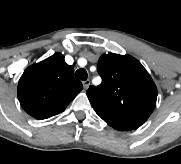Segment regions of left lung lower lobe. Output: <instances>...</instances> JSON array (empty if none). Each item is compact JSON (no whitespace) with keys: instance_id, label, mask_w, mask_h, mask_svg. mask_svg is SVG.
<instances>
[{"instance_id":"left-lung-lower-lobe-1","label":"left lung lower lobe","mask_w":181,"mask_h":164,"mask_svg":"<svg viewBox=\"0 0 181 164\" xmlns=\"http://www.w3.org/2000/svg\"><path fill=\"white\" fill-rule=\"evenodd\" d=\"M110 126H112L114 129L120 130V131H127V130H132L134 128H131L129 126L126 125H122V124H117V123H108Z\"/></svg>"}]
</instances>
